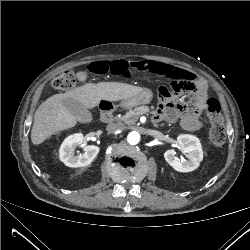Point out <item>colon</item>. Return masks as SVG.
Listing matches in <instances>:
<instances>
[{
	"label": "colon",
	"mask_w": 250,
	"mask_h": 250,
	"mask_svg": "<svg viewBox=\"0 0 250 250\" xmlns=\"http://www.w3.org/2000/svg\"><path fill=\"white\" fill-rule=\"evenodd\" d=\"M87 75L101 76L112 74L127 77L131 74V65L123 60L118 61H96L86 66ZM173 91L182 89L184 82L179 78H174ZM77 82L76 73L72 69L63 71L52 81V86L58 90H70ZM160 96L161 93L159 92ZM188 94H193L188 92ZM206 116L209 121V139L215 147H222L226 141V132L221 116V107L216 99L210 98L206 101Z\"/></svg>",
	"instance_id": "obj_1"
}]
</instances>
